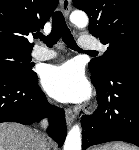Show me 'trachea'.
I'll return each mask as SVG.
<instances>
[{"label": "trachea", "mask_w": 139, "mask_h": 150, "mask_svg": "<svg viewBox=\"0 0 139 150\" xmlns=\"http://www.w3.org/2000/svg\"><path fill=\"white\" fill-rule=\"evenodd\" d=\"M37 38L44 41L48 47H52L57 41L62 38L63 42L70 48L81 52L82 50L77 46L70 30L68 29L64 16L60 11H56L52 17V31L48 36L42 34ZM88 53H96L95 51H88Z\"/></svg>", "instance_id": "1"}]
</instances>
